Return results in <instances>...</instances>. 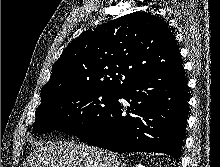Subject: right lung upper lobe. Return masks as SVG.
I'll list each match as a JSON object with an SVG mask.
<instances>
[{
  "mask_svg": "<svg viewBox=\"0 0 220 167\" xmlns=\"http://www.w3.org/2000/svg\"><path fill=\"white\" fill-rule=\"evenodd\" d=\"M182 65L174 30L146 12H133L84 31L54 63L42 102L64 91H119L143 77Z\"/></svg>",
  "mask_w": 220,
  "mask_h": 167,
  "instance_id": "right-lung-upper-lobe-1",
  "label": "right lung upper lobe"
}]
</instances>
